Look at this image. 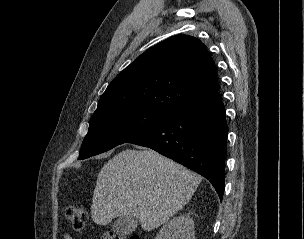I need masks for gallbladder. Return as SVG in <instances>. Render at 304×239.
Here are the masks:
<instances>
[{"label": "gallbladder", "mask_w": 304, "mask_h": 239, "mask_svg": "<svg viewBox=\"0 0 304 239\" xmlns=\"http://www.w3.org/2000/svg\"><path fill=\"white\" fill-rule=\"evenodd\" d=\"M138 226V220L132 216L117 218L112 224V230L119 236H126L132 233Z\"/></svg>", "instance_id": "bac80fb5"}]
</instances>
